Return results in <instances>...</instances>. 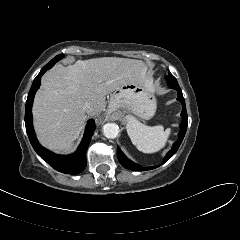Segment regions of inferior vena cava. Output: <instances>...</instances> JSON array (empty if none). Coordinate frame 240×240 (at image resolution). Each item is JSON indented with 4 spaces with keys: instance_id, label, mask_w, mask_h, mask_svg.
Segmentation results:
<instances>
[{
    "instance_id": "inferior-vena-cava-1",
    "label": "inferior vena cava",
    "mask_w": 240,
    "mask_h": 240,
    "mask_svg": "<svg viewBox=\"0 0 240 240\" xmlns=\"http://www.w3.org/2000/svg\"><path fill=\"white\" fill-rule=\"evenodd\" d=\"M90 109H91L90 103H85L84 106H83V110H84L85 112H89Z\"/></svg>"
}]
</instances>
